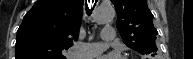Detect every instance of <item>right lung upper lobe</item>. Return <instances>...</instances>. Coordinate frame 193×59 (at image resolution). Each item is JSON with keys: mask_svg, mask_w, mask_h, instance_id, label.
Segmentation results:
<instances>
[{"mask_svg": "<svg viewBox=\"0 0 193 59\" xmlns=\"http://www.w3.org/2000/svg\"><path fill=\"white\" fill-rule=\"evenodd\" d=\"M83 0H37L17 31L16 59H66L78 39Z\"/></svg>", "mask_w": 193, "mask_h": 59, "instance_id": "right-lung-upper-lobe-1", "label": "right lung upper lobe"}]
</instances>
